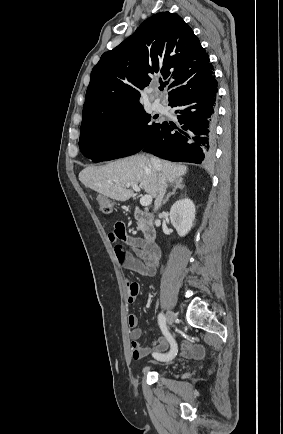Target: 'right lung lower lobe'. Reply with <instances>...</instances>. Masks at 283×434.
<instances>
[{
    "mask_svg": "<svg viewBox=\"0 0 283 434\" xmlns=\"http://www.w3.org/2000/svg\"><path fill=\"white\" fill-rule=\"evenodd\" d=\"M217 80L169 103L180 123L164 122L138 152L177 162L200 164L212 158L216 119ZM176 129V130H175Z\"/></svg>",
    "mask_w": 283,
    "mask_h": 434,
    "instance_id": "right-lung-lower-lobe-1",
    "label": "right lung lower lobe"
}]
</instances>
